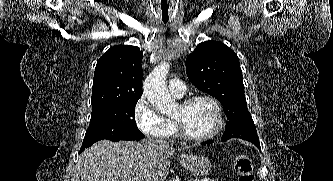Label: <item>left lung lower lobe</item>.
Returning a JSON list of instances; mask_svg holds the SVG:
<instances>
[{"label":"left lung lower lobe","instance_id":"obj_1","mask_svg":"<svg viewBox=\"0 0 333 181\" xmlns=\"http://www.w3.org/2000/svg\"><path fill=\"white\" fill-rule=\"evenodd\" d=\"M230 138H236V137H232L230 135H226V134H223L222 138H221V141H227L228 139ZM242 139V138H241ZM245 140V139H244ZM249 141V140H247ZM214 141L213 140H209V141H206V142H203L201 143L202 145H205V144H210V143H213ZM251 143H253L254 145H256V147L258 149H260V142H257V141H250Z\"/></svg>","mask_w":333,"mask_h":181}]
</instances>
